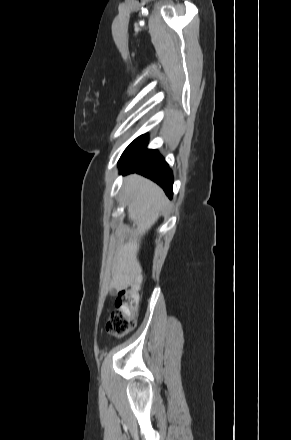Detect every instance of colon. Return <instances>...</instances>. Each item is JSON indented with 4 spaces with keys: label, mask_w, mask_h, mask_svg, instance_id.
Listing matches in <instances>:
<instances>
[{
    "label": "colon",
    "mask_w": 291,
    "mask_h": 440,
    "mask_svg": "<svg viewBox=\"0 0 291 440\" xmlns=\"http://www.w3.org/2000/svg\"><path fill=\"white\" fill-rule=\"evenodd\" d=\"M139 284H131L120 290L116 309L107 321V331L115 337H123L136 325L134 316L138 311Z\"/></svg>",
    "instance_id": "1"
}]
</instances>
